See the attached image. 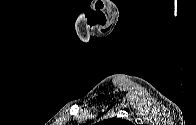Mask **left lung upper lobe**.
I'll return each mask as SVG.
<instances>
[{
    "label": "left lung upper lobe",
    "mask_w": 196,
    "mask_h": 125,
    "mask_svg": "<svg viewBox=\"0 0 196 125\" xmlns=\"http://www.w3.org/2000/svg\"><path fill=\"white\" fill-rule=\"evenodd\" d=\"M103 125H130V122L120 118H111L104 120Z\"/></svg>",
    "instance_id": "5c2ea615"
}]
</instances>
